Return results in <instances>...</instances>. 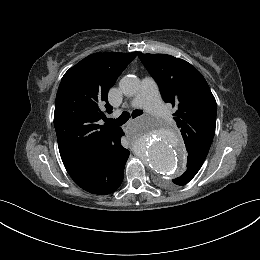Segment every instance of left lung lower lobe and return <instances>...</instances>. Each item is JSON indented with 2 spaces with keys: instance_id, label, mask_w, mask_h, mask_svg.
<instances>
[{
  "instance_id": "left-lung-lower-lobe-1",
  "label": "left lung lower lobe",
  "mask_w": 260,
  "mask_h": 260,
  "mask_svg": "<svg viewBox=\"0 0 260 260\" xmlns=\"http://www.w3.org/2000/svg\"><path fill=\"white\" fill-rule=\"evenodd\" d=\"M202 164L199 159L188 157L186 171L179 178L173 179V183L180 186L187 184L197 174Z\"/></svg>"
}]
</instances>
